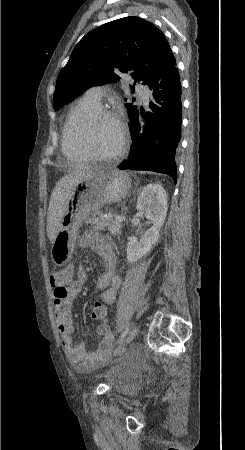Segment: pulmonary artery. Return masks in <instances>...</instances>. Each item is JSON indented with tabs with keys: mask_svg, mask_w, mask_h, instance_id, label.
<instances>
[{
	"mask_svg": "<svg viewBox=\"0 0 245 450\" xmlns=\"http://www.w3.org/2000/svg\"><path fill=\"white\" fill-rule=\"evenodd\" d=\"M108 90L101 86H95L87 90L86 96L90 98L92 101L96 103H100L102 98L108 94ZM139 94L143 97L144 101L146 102L148 100V92L145 91H139Z\"/></svg>",
	"mask_w": 245,
	"mask_h": 450,
	"instance_id": "e3ab8cb5",
	"label": "pulmonary artery"
}]
</instances>
